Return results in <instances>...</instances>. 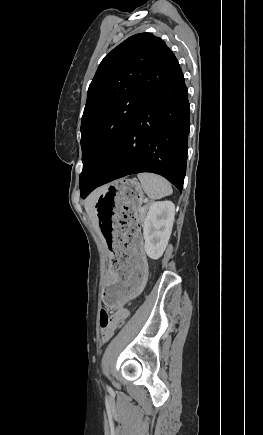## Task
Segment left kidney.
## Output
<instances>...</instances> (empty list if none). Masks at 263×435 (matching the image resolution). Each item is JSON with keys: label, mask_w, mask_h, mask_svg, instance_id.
<instances>
[{"label": "left kidney", "mask_w": 263, "mask_h": 435, "mask_svg": "<svg viewBox=\"0 0 263 435\" xmlns=\"http://www.w3.org/2000/svg\"><path fill=\"white\" fill-rule=\"evenodd\" d=\"M175 205L171 201L153 202L143 224L145 252L151 259H159L165 251L174 222Z\"/></svg>", "instance_id": "left-kidney-1"}]
</instances>
